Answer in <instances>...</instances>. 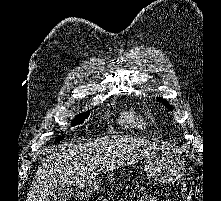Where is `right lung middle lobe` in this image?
I'll return each mask as SVG.
<instances>
[{
  "label": "right lung middle lobe",
  "instance_id": "1",
  "mask_svg": "<svg viewBox=\"0 0 221 201\" xmlns=\"http://www.w3.org/2000/svg\"><path fill=\"white\" fill-rule=\"evenodd\" d=\"M89 116V112H84L81 113L80 115H78L74 121L72 122V126H75L77 124H82L84 122L85 119H87ZM64 138V136H59L56 138V142H59L60 140H62Z\"/></svg>",
  "mask_w": 221,
  "mask_h": 201
}]
</instances>
